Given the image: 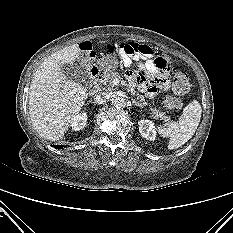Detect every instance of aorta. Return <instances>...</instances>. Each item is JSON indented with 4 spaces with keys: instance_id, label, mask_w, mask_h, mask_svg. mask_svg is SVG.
<instances>
[{
    "instance_id": "762f6f07",
    "label": "aorta",
    "mask_w": 233,
    "mask_h": 233,
    "mask_svg": "<svg viewBox=\"0 0 233 233\" xmlns=\"http://www.w3.org/2000/svg\"><path fill=\"white\" fill-rule=\"evenodd\" d=\"M112 105L116 109H123L126 106V101L123 97L117 96L112 100Z\"/></svg>"
}]
</instances>
